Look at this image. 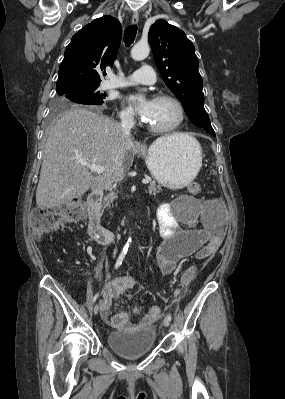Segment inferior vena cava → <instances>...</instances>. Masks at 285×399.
Listing matches in <instances>:
<instances>
[{
	"mask_svg": "<svg viewBox=\"0 0 285 399\" xmlns=\"http://www.w3.org/2000/svg\"><path fill=\"white\" fill-rule=\"evenodd\" d=\"M121 118V128L124 135H130V131L134 126V118L131 113H124L120 116Z\"/></svg>",
	"mask_w": 285,
	"mask_h": 399,
	"instance_id": "1",
	"label": "inferior vena cava"
}]
</instances>
